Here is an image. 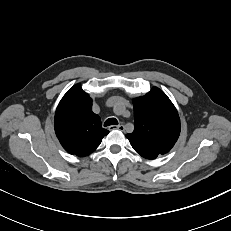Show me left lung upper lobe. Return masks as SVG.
Wrapping results in <instances>:
<instances>
[{
    "label": "left lung upper lobe",
    "mask_w": 231,
    "mask_h": 231,
    "mask_svg": "<svg viewBox=\"0 0 231 231\" xmlns=\"http://www.w3.org/2000/svg\"><path fill=\"white\" fill-rule=\"evenodd\" d=\"M134 131L127 134L131 146L142 157L155 159L168 153L180 134V118L173 103L157 87L133 100Z\"/></svg>",
    "instance_id": "obj_1"
}]
</instances>
